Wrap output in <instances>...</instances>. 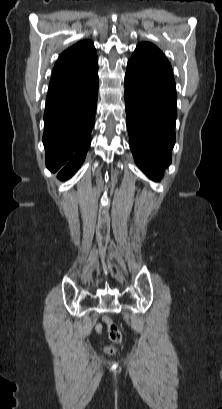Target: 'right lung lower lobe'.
Returning a JSON list of instances; mask_svg holds the SVG:
<instances>
[{
	"label": "right lung lower lobe",
	"instance_id": "1",
	"mask_svg": "<svg viewBox=\"0 0 222 409\" xmlns=\"http://www.w3.org/2000/svg\"><path fill=\"white\" fill-rule=\"evenodd\" d=\"M82 89L47 96L44 112L43 143L46 166L60 171L61 180L70 178L83 163L91 143L98 96V70L82 76Z\"/></svg>",
	"mask_w": 222,
	"mask_h": 409
}]
</instances>
